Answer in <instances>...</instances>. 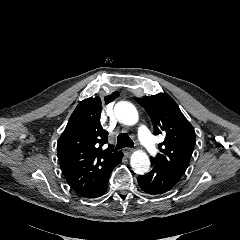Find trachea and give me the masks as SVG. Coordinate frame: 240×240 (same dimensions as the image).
<instances>
[{"label": "trachea", "mask_w": 240, "mask_h": 240, "mask_svg": "<svg viewBox=\"0 0 240 240\" xmlns=\"http://www.w3.org/2000/svg\"><path fill=\"white\" fill-rule=\"evenodd\" d=\"M133 141L125 133H120L117 137V145L115 150H119L124 147L133 146Z\"/></svg>", "instance_id": "trachea-1"}]
</instances>
